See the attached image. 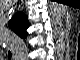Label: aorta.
Returning a JSON list of instances; mask_svg holds the SVG:
<instances>
[{
	"instance_id": "aorta-1",
	"label": "aorta",
	"mask_w": 80,
	"mask_h": 60,
	"mask_svg": "<svg viewBox=\"0 0 80 60\" xmlns=\"http://www.w3.org/2000/svg\"><path fill=\"white\" fill-rule=\"evenodd\" d=\"M5 36L8 38L7 44H11L16 51L24 50L25 44L20 38L11 34H6Z\"/></svg>"
}]
</instances>
